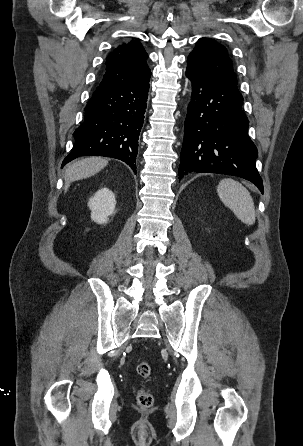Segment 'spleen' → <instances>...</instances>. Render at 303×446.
Instances as JSON below:
<instances>
[{"instance_id":"1","label":"spleen","mask_w":303,"mask_h":446,"mask_svg":"<svg viewBox=\"0 0 303 446\" xmlns=\"http://www.w3.org/2000/svg\"><path fill=\"white\" fill-rule=\"evenodd\" d=\"M217 192L221 201L234 212L239 220L247 225L255 222V208L249 191L238 181L231 178L222 179Z\"/></svg>"}]
</instances>
